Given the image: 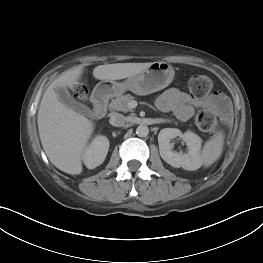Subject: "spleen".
I'll use <instances>...</instances> for the list:
<instances>
[{"mask_svg": "<svg viewBox=\"0 0 263 263\" xmlns=\"http://www.w3.org/2000/svg\"><path fill=\"white\" fill-rule=\"evenodd\" d=\"M223 141L224 136L222 133H219L205 143L201 153V161L205 166H210L220 157L223 149Z\"/></svg>", "mask_w": 263, "mask_h": 263, "instance_id": "spleen-1", "label": "spleen"}]
</instances>
